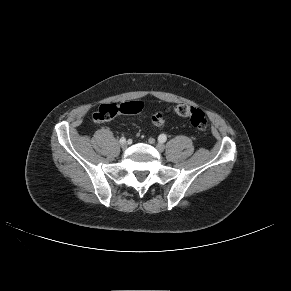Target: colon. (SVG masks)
I'll return each instance as SVG.
<instances>
[{
    "label": "colon",
    "instance_id": "5ec220e1",
    "mask_svg": "<svg viewBox=\"0 0 291 291\" xmlns=\"http://www.w3.org/2000/svg\"><path fill=\"white\" fill-rule=\"evenodd\" d=\"M143 103L141 101H127L121 104L108 103L102 104L93 114V120L101 123L112 120L118 114L135 115L143 110ZM174 113L177 116L188 118L191 125L197 130L203 131L207 128L208 120L205 113L195 107L178 104L174 108ZM151 121L153 125L160 127L165 124L166 117L164 113L157 112L153 114Z\"/></svg>",
    "mask_w": 291,
    "mask_h": 291
}]
</instances>
